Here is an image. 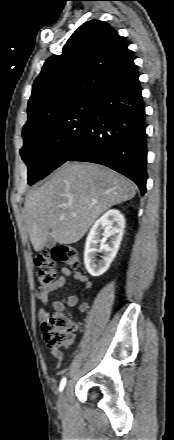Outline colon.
Instances as JSON below:
<instances>
[{
  "mask_svg": "<svg viewBox=\"0 0 174 440\" xmlns=\"http://www.w3.org/2000/svg\"><path fill=\"white\" fill-rule=\"evenodd\" d=\"M56 262L67 263L71 267L80 265V255L70 245H56L40 251L34 258L39 269L37 278L41 286H50L57 279ZM44 340L48 347L60 351L70 346L74 339V326L63 314H53L41 324Z\"/></svg>",
  "mask_w": 174,
  "mask_h": 440,
  "instance_id": "colon-1",
  "label": "colon"
}]
</instances>
